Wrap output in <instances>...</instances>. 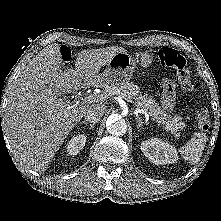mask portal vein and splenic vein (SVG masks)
Returning <instances> with one entry per match:
<instances>
[{
    "mask_svg": "<svg viewBox=\"0 0 221 221\" xmlns=\"http://www.w3.org/2000/svg\"><path fill=\"white\" fill-rule=\"evenodd\" d=\"M121 96H122V98H123L124 100H126L127 102H129V103H132V102H133L132 99H131V97L128 96L127 94H122ZM106 98H107V95H105V94H95V95H90V96L87 98V100L90 101V102H95V101H103V100H105ZM77 105H78V101L74 104V106H77ZM139 113H143V114L145 115V118L148 120L149 114H148L146 111H144V110H142V109H139V108H136L135 114L138 115Z\"/></svg>",
    "mask_w": 221,
    "mask_h": 221,
    "instance_id": "18ae733b",
    "label": "portal vein and splenic vein"
}]
</instances>
